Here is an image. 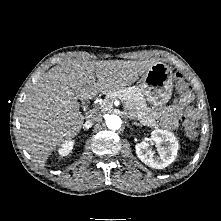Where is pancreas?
Wrapping results in <instances>:
<instances>
[{"label":"pancreas","mask_w":221,"mask_h":221,"mask_svg":"<svg viewBox=\"0 0 221 221\" xmlns=\"http://www.w3.org/2000/svg\"><path fill=\"white\" fill-rule=\"evenodd\" d=\"M115 99H120L123 102L125 110L134 111L137 119L142 125L157 128L158 125L156 124L155 118L148 113V109L141 100L140 92L137 87H128L109 93L100 103L101 109H110Z\"/></svg>","instance_id":"1"}]
</instances>
